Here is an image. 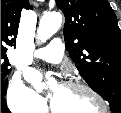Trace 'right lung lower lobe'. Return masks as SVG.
Segmentation results:
<instances>
[{
	"mask_svg": "<svg viewBox=\"0 0 121 113\" xmlns=\"http://www.w3.org/2000/svg\"><path fill=\"white\" fill-rule=\"evenodd\" d=\"M1 112L3 113H10V110L8 109L5 99H4V95L1 96Z\"/></svg>",
	"mask_w": 121,
	"mask_h": 113,
	"instance_id": "obj_1",
	"label": "right lung lower lobe"
}]
</instances>
